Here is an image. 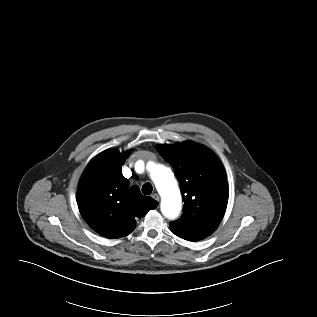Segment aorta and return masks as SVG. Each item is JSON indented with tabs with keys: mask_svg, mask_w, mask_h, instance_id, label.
Returning a JSON list of instances; mask_svg holds the SVG:
<instances>
[{
	"mask_svg": "<svg viewBox=\"0 0 317 317\" xmlns=\"http://www.w3.org/2000/svg\"><path fill=\"white\" fill-rule=\"evenodd\" d=\"M147 171L161 195V212L168 219L176 218L182 209V198L172 169L163 163L150 161Z\"/></svg>",
	"mask_w": 317,
	"mask_h": 317,
	"instance_id": "1",
	"label": "aorta"
}]
</instances>
